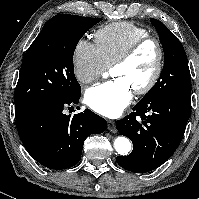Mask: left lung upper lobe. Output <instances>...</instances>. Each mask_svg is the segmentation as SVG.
<instances>
[{
    "mask_svg": "<svg viewBox=\"0 0 199 199\" xmlns=\"http://www.w3.org/2000/svg\"><path fill=\"white\" fill-rule=\"evenodd\" d=\"M162 44L165 62L160 78L138 103L158 102L173 95H191V75L184 47L159 20L150 19Z\"/></svg>",
    "mask_w": 199,
    "mask_h": 199,
    "instance_id": "1",
    "label": "left lung upper lobe"
}]
</instances>
